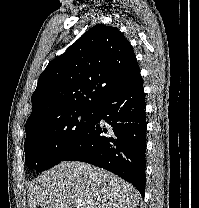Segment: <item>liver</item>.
Segmentation results:
<instances>
[{"instance_id":"obj_1","label":"liver","mask_w":199,"mask_h":208,"mask_svg":"<svg viewBox=\"0 0 199 208\" xmlns=\"http://www.w3.org/2000/svg\"><path fill=\"white\" fill-rule=\"evenodd\" d=\"M136 188L102 168L83 162H61L29 186V208H135Z\"/></svg>"}]
</instances>
